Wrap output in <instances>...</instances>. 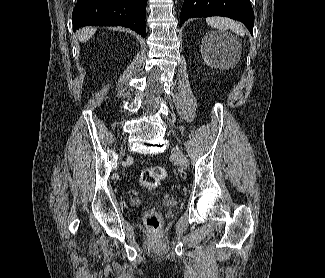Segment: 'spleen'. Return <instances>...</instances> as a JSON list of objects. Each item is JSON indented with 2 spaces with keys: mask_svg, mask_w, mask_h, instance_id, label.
<instances>
[{
  "mask_svg": "<svg viewBox=\"0 0 325 278\" xmlns=\"http://www.w3.org/2000/svg\"><path fill=\"white\" fill-rule=\"evenodd\" d=\"M206 22L211 27L220 31L231 29V31L236 33L237 35L243 36L245 34L243 27L239 23L228 18L208 17L206 18Z\"/></svg>",
  "mask_w": 325,
  "mask_h": 278,
  "instance_id": "3e777b00",
  "label": "spleen"
}]
</instances>
